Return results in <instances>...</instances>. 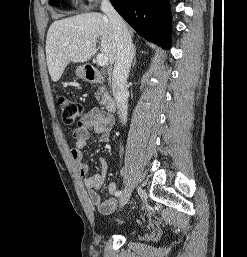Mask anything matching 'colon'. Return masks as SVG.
Masks as SVG:
<instances>
[{
  "mask_svg": "<svg viewBox=\"0 0 247 257\" xmlns=\"http://www.w3.org/2000/svg\"><path fill=\"white\" fill-rule=\"evenodd\" d=\"M62 120L67 125H74L80 122L85 115L83 105L69 97L61 96L58 99Z\"/></svg>",
  "mask_w": 247,
  "mask_h": 257,
  "instance_id": "5ec220e1",
  "label": "colon"
}]
</instances>
